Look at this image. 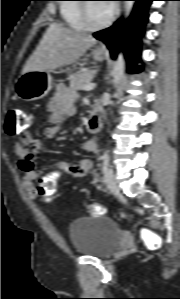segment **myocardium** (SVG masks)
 <instances>
[{
  "mask_svg": "<svg viewBox=\"0 0 180 299\" xmlns=\"http://www.w3.org/2000/svg\"><path fill=\"white\" fill-rule=\"evenodd\" d=\"M84 1H86V0H84ZM88 8H89V5H88L87 2H84V3L80 4L81 20H82V23H83L86 30L99 31V30H102V29L108 27L112 23V21L114 19V13L113 12L110 13L109 17L104 22H102L100 24H93L90 21L89 9Z\"/></svg>",
  "mask_w": 180,
  "mask_h": 299,
  "instance_id": "f54148a6",
  "label": "myocardium"
}]
</instances>
